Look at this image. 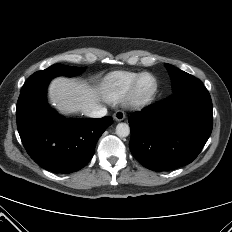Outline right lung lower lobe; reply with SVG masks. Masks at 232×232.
<instances>
[{
    "mask_svg": "<svg viewBox=\"0 0 232 232\" xmlns=\"http://www.w3.org/2000/svg\"><path fill=\"white\" fill-rule=\"evenodd\" d=\"M48 83L21 90L16 107L18 132L26 151L41 167L75 172L91 160L97 140L113 119H64L46 102Z\"/></svg>",
    "mask_w": 232,
    "mask_h": 232,
    "instance_id": "1",
    "label": "right lung lower lobe"
}]
</instances>
